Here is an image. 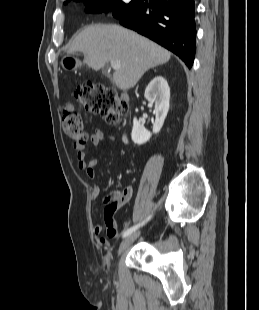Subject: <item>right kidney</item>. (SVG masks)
Here are the masks:
<instances>
[{
  "instance_id": "1",
  "label": "right kidney",
  "mask_w": 259,
  "mask_h": 310,
  "mask_svg": "<svg viewBox=\"0 0 259 310\" xmlns=\"http://www.w3.org/2000/svg\"><path fill=\"white\" fill-rule=\"evenodd\" d=\"M145 98L155 107V122L153 124V133H158L169 111L170 88L167 81L162 76L155 77L145 90ZM152 133L149 132L136 118L133 119V128L131 133L132 141L141 145L147 142Z\"/></svg>"
}]
</instances>
